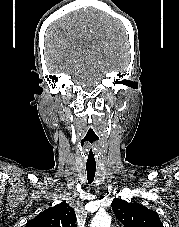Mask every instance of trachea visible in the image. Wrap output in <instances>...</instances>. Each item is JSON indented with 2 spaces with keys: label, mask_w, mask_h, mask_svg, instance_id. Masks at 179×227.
I'll return each mask as SVG.
<instances>
[{
  "label": "trachea",
  "mask_w": 179,
  "mask_h": 227,
  "mask_svg": "<svg viewBox=\"0 0 179 227\" xmlns=\"http://www.w3.org/2000/svg\"><path fill=\"white\" fill-rule=\"evenodd\" d=\"M86 159V171L88 183L91 184L94 181L95 172H96V152L95 150H88Z\"/></svg>",
  "instance_id": "obj_1"
}]
</instances>
